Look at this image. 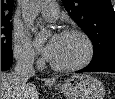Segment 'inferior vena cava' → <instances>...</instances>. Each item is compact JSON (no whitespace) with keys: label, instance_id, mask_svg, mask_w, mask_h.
Returning <instances> with one entry per match:
<instances>
[{"label":"inferior vena cava","instance_id":"obj_1","mask_svg":"<svg viewBox=\"0 0 115 99\" xmlns=\"http://www.w3.org/2000/svg\"><path fill=\"white\" fill-rule=\"evenodd\" d=\"M14 74L17 84L24 86L27 81L35 74L32 58L25 55L18 56L16 59Z\"/></svg>","mask_w":115,"mask_h":99}]
</instances>
